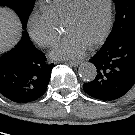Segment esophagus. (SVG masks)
Segmentation results:
<instances>
[{"label": "esophagus", "mask_w": 135, "mask_h": 135, "mask_svg": "<svg viewBox=\"0 0 135 135\" xmlns=\"http://www.w3.org/2000/svg\"><path fill=\"white\" fill-rule=\"evenodd\" d=\"M69 64L70 66L77 67L81 62L80 61H70V62H65Z\"/></svg>", "instance_id": "obj_1"}]
</instances>
